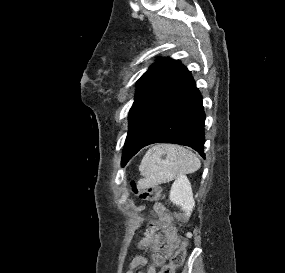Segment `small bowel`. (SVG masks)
I'll return each instance as SVG.
<instances>
[{"label":"small bowel","instance_id":"obj_1","mask_svg":"<svg viewBox=\"0 0 285 273\" xmlns=\"http://www.w3.org/2000/svg\"><path fill=\"white\" fill-rule=\"evenodd\" d=\"M152 212L157 218L150 221L137 244L139 250L150 249L152 252V263L148 266L146 273H157L158 267L165 263L179 242L175 227L173 226V217L165 206L157 202L153 205ZM160 230L162 233L158 234ZM146 263V258L137 254L126 273H135L136 268Z\"/></svg>","mask_w":285,"mask_h":273}]
</instances>
